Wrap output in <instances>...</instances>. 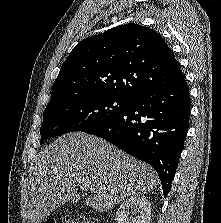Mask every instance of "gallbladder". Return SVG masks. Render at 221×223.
<instances>
[{"instance_id": "gallbladder-1", "label": "gallbladder", "mask_w": 221, "mask_h": 223, "mask_svg": "<svg viewBox=\"0 0 221 223\" xmlns=\"http://www.w3.org/2000/svg\"><path fill=\"white\" fill-rule=\"evenodd\" d=\"M78 201H79V197L78 196H75V197L72 198V202L73 203H76Z\"/></svg>"}]
</instances>
